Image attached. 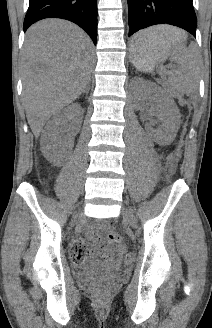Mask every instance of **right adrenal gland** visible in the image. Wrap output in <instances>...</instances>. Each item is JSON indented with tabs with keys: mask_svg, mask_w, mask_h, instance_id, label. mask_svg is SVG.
Here are the masks:
<instances>
[{
	"mask_svg": "<svg viewBox=\"0 0 212 328\" xmlns=\"http://www.w3.org/2000/svg\"><path fill=\"white\" fill-rule=\"evenodd\" d=\"M90 90V84L87 85L86 89L84 90V93L88 94Z\"/></svg>",
	"mask_w": 212,
	"mask_h": 328,
	"instance_id": "right-adrenal-gland-1",
	"label": "right adrenal gland"
}]
</instances>
